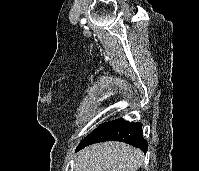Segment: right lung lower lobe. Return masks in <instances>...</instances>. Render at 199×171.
<instances>
[{"instance_id": "obj_1", "label": "right lung lower lobe", "mask_w": 199, "mask_h": 171, "mask_svg": "<svg viewBox=\"0 0 199 171\" xmlns=\"http://www.w3.org/2000/svg\"><path fill=\"white\" fill-rule=\"evenodd\" d=\"M104 141H121L140 148L143 152L148 150V143L143 138L142 124L138 122L129 123L122 118L103 123L97 127L80 142L76 150Z\"/></svg>"}]
</instances>
